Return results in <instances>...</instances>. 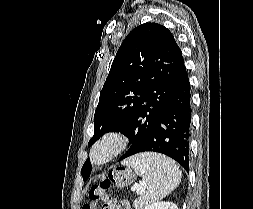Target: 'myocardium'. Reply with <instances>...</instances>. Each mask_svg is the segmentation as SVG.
Wrapping results in <instances>:
<instances>
[{
	"mask_svg": "<svg viewBox=\"0 0 253 209\" xmlns=\"http://www.w3.org/2000/svg\"><path fill=\"white\" fill-rule=\"evenodd\" d=\"M128 138L126 134L117 129L104 132L92 145L89 153L91 164L103 166L118 156L127 146ZM101 150H106L101 159H97V154Z\"/></svg>",
	"mask_w": 253,
	"mask_h": 209,
	"instance_id": "f54148a6",
	"label": "myocardium"
}]
</instances>
